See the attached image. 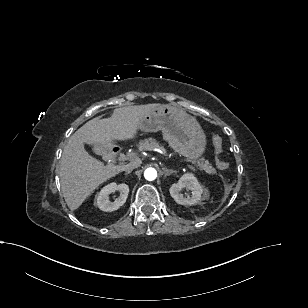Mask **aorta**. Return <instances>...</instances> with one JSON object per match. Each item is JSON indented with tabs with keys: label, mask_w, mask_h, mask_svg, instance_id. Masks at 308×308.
<instances>
[{
	"label": "aorta",
	"mask_w": 308,
	"mask_h": 308,
	"mask_svg": "<svg viewBox=\"0 0 308 308\" xmlns=\"http://www.w3.org/2000/svg\"><path fill=\"white\" fill-rule=\"evenodd\" d=\"M144 177L148 181H153L157 177V171L154 168H147L144 171Z\"/></svg>",
	"instance_id": "obj_1"
}]
</instances>
